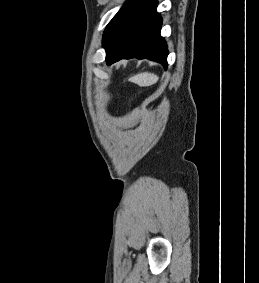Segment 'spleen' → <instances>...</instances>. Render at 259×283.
Returning a JSON list of instances; mask_svg holds the SVG:
<instances>
[{
    "mask_svg": "<svg viewBox=\"0 0 259 283\" xmlns=\"http://www.w3.org/2000/svg\"><path fill=\"white\" fill-rule=\"evenodd\" d=\"M158 80V76L153 74V73H148V72H144V73H139L137 75H134L133 77H131L129 79V81L142 86V87H146V86H150L154 83H156Z\"/></svg>",
    "mask_w": 259,
    "mask_h": 283,
    "instance_id": "spleen-1",
    "label": "spleen"
}]
</instances>
